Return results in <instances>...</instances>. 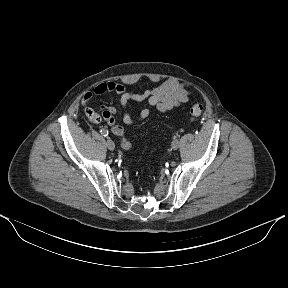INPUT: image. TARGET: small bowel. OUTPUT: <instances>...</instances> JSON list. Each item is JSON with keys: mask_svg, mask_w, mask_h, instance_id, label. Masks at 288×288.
Masks as SVG:
<instances>
[{"mask_svg": "<svg viewBox=\"0 0 288 288\" xmlns=\"http://www.w3.org/2000/svg\"><path fill=\"white\" fill-rule=\"evenodd\" d=\"M105 93H114L118 96L120 106L123 109L122 120L126 125H132L146 120L152 108L163 113L170 112L174 108L187 103L190 98L188 86L175 79L166 80L153 89L139 93L128 91L125 85L120 82L107 81L98 84L92 91L86 92L83 96L82 103L83 105H87L94 95L100 96ZM132 101L146 102V106L136 117L132 116L127 110L128 104ZM101 112L102 118L108 123L113 134L124 138L126 131L115 118L118 112L117 108L113 106H102Z\"/></svg>", "mask_w": 288, "mask_h": 288, "instance_id": "1", "label": "small bowel"}]
</instances>
